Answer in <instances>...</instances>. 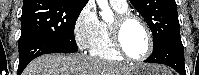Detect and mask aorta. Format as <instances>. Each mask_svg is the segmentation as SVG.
<instances>
[{
  "label": "aorta",
  "mask_w": 199,
  "mask_h": 75,
  "mask_svg": "<svg viewBox=\"0 0 199 75\" xmlns=\"http://www.w3.org/2000/svg\"><path fill=\"white\" fill-rule=\"evenodd\" d=\"M97 4H98L99 8L102 10L101 11L102 19L105 21L113 20L114 14L108 5V1L107 0H97Z\"/></svg>",
  "instance_id": "obj_1"
}]
</instances>
